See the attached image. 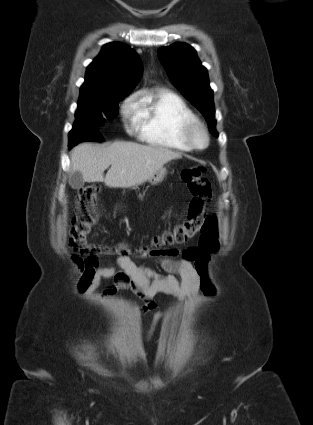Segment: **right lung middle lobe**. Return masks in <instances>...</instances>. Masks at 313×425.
Masks as SVG:
<instances>
[{"label":"right lung middle lobe","instance_id":"dd1d6c3e","mask_svg":"<svg viewBox=\"0 0 313 425\" xmlns=\"http://www.w3.org/2000/svg\"><path fill=\"white\" fill-rule=\"evenodd\" d=\"M128 94L113 93L97 99H88L78 101V108L76 110V122L74 127L80 123H88L93 126L101 124L105 118H113L118 114V103L123 100ZM75 138H69V144H75Z\"/></svg>","mask_w":313,"mask_h":425}]
</instances>
